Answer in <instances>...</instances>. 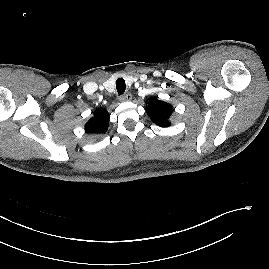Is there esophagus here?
<instances>
[{
	"mask_svg": "<svg viewBox=\"0 0 269 269\" xmlns=\"http://www.w3.org/2000/svg\"><path fill=\"white\" fill-rule=\"evenodd\" d=\"M131 99H132L131 93H126V94L120 96V101H122V102L130 101Z\"/></svg>",
	"mask_w": 269,
	"mask_h": 269,
	"instance_id": "1",
	"label": "esophagus"
}]
</instances>
